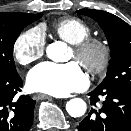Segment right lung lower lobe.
Segmentation results:
<instances>
[{"instance_id":"right-lung-lower-lobe-1","label":"right lung lower lobe","mask_w":131,"mask_h":131,"mask_svg":"<svg viewBox=\"0 0 131 131\" xmlns=\"http://www.w3.org/2000/svg\"><path fill=\"white\" fill-rule=\"evenodd\" d=\"M22 80L18 73L0 74V131H29L36 101L28 95L16 96Z\"/></svg>"}]
</instances>
